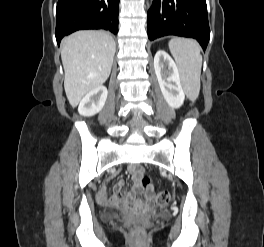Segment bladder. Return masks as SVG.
Here are the masks:
<instances>
[{
    "instance_id": "obj_1",
    "label": "bladder",
    "mask_w": 264,
    "mask_h": 247,
    "mask_svg": "<svg viewBox=\"0 0 264 247\" xmlns=\"http://www.w3.org/2000/svg\"><path fill=\"white\" fill-rule=\"evenodd\" d=\"M118 217V212L115 210H108L101 213V218L105 221H111Z\"/></svg>"
}]
</instances>
